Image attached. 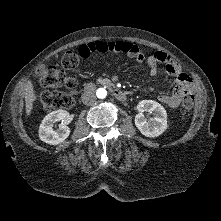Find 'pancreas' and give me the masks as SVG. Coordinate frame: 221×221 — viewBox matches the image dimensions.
Here are the masks:
<instances>
[{
	"label": "pancreas",
	"mask_w": 221,
	"mask_h": 221,
	"mask_svg": "<svg viewBox=\"0 0 221 221\" xmlns=\"http://www.w3.org/2000/svg\"><path fill=\"white\" fill-rule=\"evenodd\" d=\"M97 81H98V82H105V81H107V79L98 78Z\"/></svg>",
	"instance_id": "cf45deb5"
}]
</instances>
